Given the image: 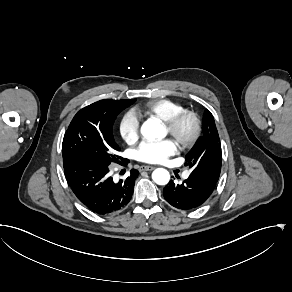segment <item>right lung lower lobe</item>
I'll return each mask as SVG.
<instances>
[{
  "label": "right lung lower lobe",
  "instance_id": "obj_1",
  "mask_svg": "<svg viewBox=\"0 0 292 292\" xmlns=\"http://www.w3.org/2000/svg\"><path fill=\"white\" fill-rule=\"evenodd\" d=\"M128 162L123 159L117 163L127 165ZM109 165L88 159L63 160L64 173L73 193L89 210L99 215L116 213L127 206L139 174L132 169L125 180L114 182L108 174Z\"/></svg>",
  "mask_w": 292,
  "mask_h": 292
}]
</instances>
